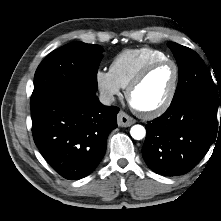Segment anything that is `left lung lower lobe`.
<instances>
[{
  "label": "left lung lower lobe",
  "mask_w": 221,
  "mask_h": 221,
  "mask_svg": "<svg viewBox=\"0 0 221 221\" xmlns=\"http://www.w3.org/2000/svg\"><path fill=\"white\" fill-rule=\"evenodd\" d=\"M216 108L207 99L189 96L172 102L162 116L148 122L142 155L149 168L164 176L192 170L221 129Z\"/></svg>",
  "instance_id": "0a47b994"
}]
</instances>
